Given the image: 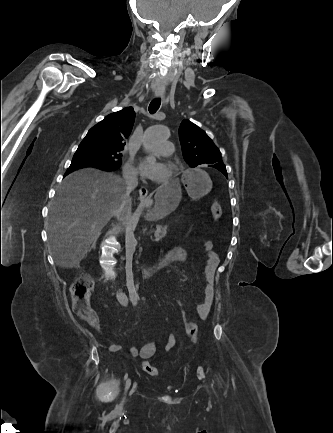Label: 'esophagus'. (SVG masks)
Wrapping results in <instances>:
<instances>
[{
	"instance_id": "esophagus-1",
	"label": "esophagus",
	"mask_w": 333,
	"mask_h": 433,
	"mask_svg": "<svg viewBox=\"0 0 333 433\" xmlns=\"http://www.w3.org/2000/svg\"><path fill=\"white\" fill-rule=\"evenodd\" d=\"M155 96L161 99L162 104L165 105V92L162 88H158L155 92ZM148 190L145 186L139 189V198L141 201L147 200Z\"/></svg>"
}]
</instances>
